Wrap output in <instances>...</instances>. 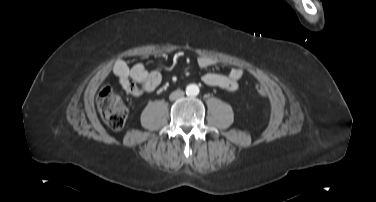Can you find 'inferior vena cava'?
<instances>
[{
    "mask_svg": "<svg viewBox=\"0 0 376 202\" xmlns=\"http://www.w3.org/2000/svg\"><path fill=\"white\" fill-rule=\"evenodd\" d=\"M183 96H184V91L179 89V90L172 92L169 96V99L170 100H176V99L182 98Z\"/></svg>",
    "mask_w": 376,
    "mask_h": 202,
    "instance_id": "602c4592",
    "label": "inferior vena cava"
}]
</instances>
